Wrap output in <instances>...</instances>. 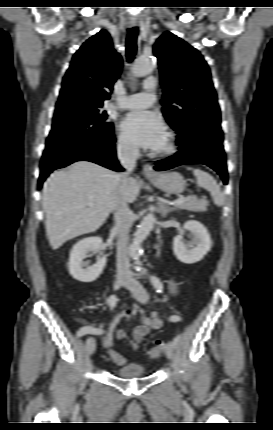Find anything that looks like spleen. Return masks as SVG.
Listing matches in <instances>:
<instances>
[{
  "instance_id": "spleen-1",
  "label": "spleen",
  "mask_w": 273,
  "mask_h": 430,
  "mask_svg": "<svg viewBox=\"0 0 273 430\" xmlns=\"http://www.w3.org/2000/svg\"><path fill=\"white\" fill-rule=\"evenodd\" d=\"M188 169L193 171L197 184L210 192L214 204L217 206H223L224 195L221 192L220 186L217 184L216 180L209 173L201 169H193L190 167Z\"/></svg>"
}]
</instances>
